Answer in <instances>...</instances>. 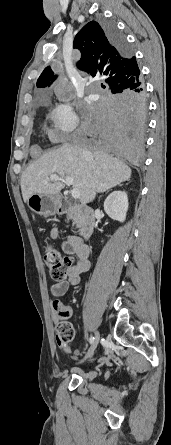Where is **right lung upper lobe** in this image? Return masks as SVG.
Listing matches in <instances>:
<instances>
[{
	"mask_svg": "<svg viewBox=\"0 0 171 445\" xmlns=\"http://www.w3.org/2000/svg\"><path fill=\"white\" fill-rule=\"evenodd\" d=\"M73 47L81 52L79 69L92 76L103 75L111 91L128 89L142 80L136 58L130 51L122 54L113 47L101 23L86 24L75 36ZM55 78L47 67L38 78L37 87H46Z\"/></svg>",
	"mask_w": 171,
	"mask_h": 445,
	"instance_id": "right-lung-upper-lobe-1",
	"label": "right lung upper lobe"
}]
</instances>
